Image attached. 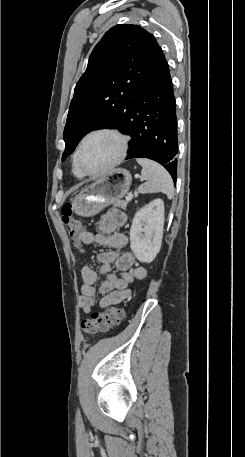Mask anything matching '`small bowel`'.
<instances>
[{
    "mask_svg": "<svg viewBox=\"0 0 245 457\" xmlns=\"http://www.w3.org/2000/svg\"><path fill=\"white\" fill-rule=\"evenodd\" d=\"M126 220V215L122 211L111 209L98 221V232L82 229L81 244L104 249L97 256L101 263L99 272L104 276L98 288L97 272L87 265L81 269L79 305L85 314L91 313L96 306L105 308L121 303L130 295L129 285L134 280L144 279L147 275L144 267L135 264V257L131 252L119 253V250L128 245L127 236L120 232ZM98 293L102 296L99 301Z\"/></svg>",
    "mask_w": 245,
    "mask_h": 457,
    "instance_id": "obj_1",
    "label": "small bowel"
}]
</instances>
